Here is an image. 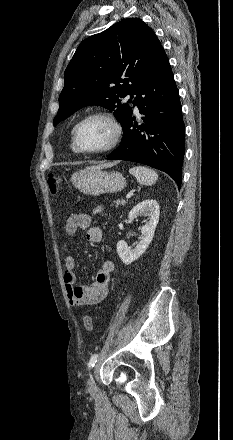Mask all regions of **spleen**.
<instances>
[{"label": "spleen", "mask_w": 233, "mask_h": 440, "mask_svg": "<svg viewBox=\"0 0 233 440\" xmlns=\"http://www.w3.org/2000/svg\"><path fill=\"white\" fill-rule=\"evenodd\" d=\"M129 173L133 175L141 185L151 186L156 183L158 174L151 168L146 166H135L129 169Z\"/></svg>", "instance_id": "1"}]
</instances>
